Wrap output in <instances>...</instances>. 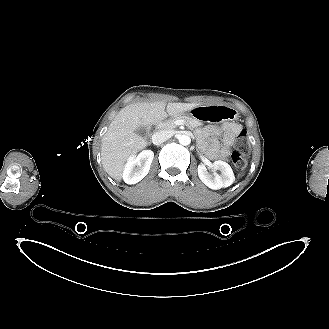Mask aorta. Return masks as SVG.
<instances>
[{
  "label": "aorta",
  "instance_id": "aorta-1",
  "mask_svg": "<svg viewBox=\"0 0 329 329\" xmlns=\"http://www.w3.org/2000/svg\"><path fill=\"white\" fill-rule=\"evenodd\" d=\"M178 140H179V143L181 145H184V146L189 145L191 143V138L188 135H185V134L184 135H180V137L178 138Z\"/></svg>",
  "mask_w": 329,
  "mask_h": 329
}]
</instances>
